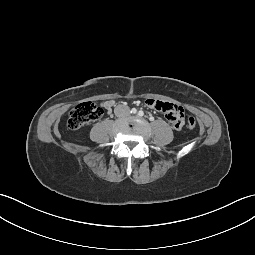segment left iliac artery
<instances>
[{
	"instance_id": "44dca946",
	"label": "left iliac artery",
	"mask_w": 255,
	"mask_h": 255,
	"mask_svg": "<svg viewBox=\"0 0 255 255\" xmlns=\"http://www.w3.org/2000/svg\"><path fill=\"white\" fill-rule=\"evenodd\" d=\"M143 115H144V112H143L142 110H140V111L138 112V116L142 117Z\"/></svg>"
}]
</instances>
